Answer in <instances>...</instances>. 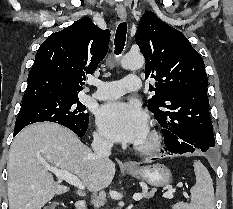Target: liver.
<instances>
[{"label": "liver", "instance_id": "6515ba94", "mask_svg": "<svg viewBox=\"0 0 233 209\" xmlns=\"http://www.w3.org/2000/svg\"><path fill=\"white\" fill-rule=\"evenodd\" d=\"M45 164L78 176L91 192L107 188L115 175L111 160L96 156L67 128L55 123L30 125L10 147L9 209H41L54 196L69 190L54 181Z\"/></svg>", "mask_w": 233, "mask_h": 209}]
</instances>
